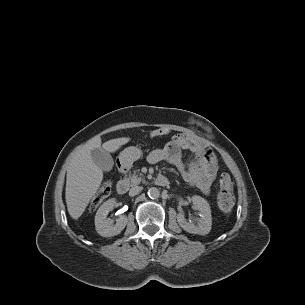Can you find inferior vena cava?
Returning <instances> with one entry per match:
<instances>
[{"label": "inferior vena cava", "mask_w": 305, "mask_h": 305, "mask_svg": "<svg viewBox=\"0 0 305 305\" xmlns=\"http://www.w3.org/2000/svg\"><path fill=\"white\" fill-rule=\"evenodd\" d=\"M142 187L140 186H135V187H132L129 191V195L130 196H135L137 194H139L141 191H142Z\"/></svg>", "instance_id": "602c4592"}]
</instances>
